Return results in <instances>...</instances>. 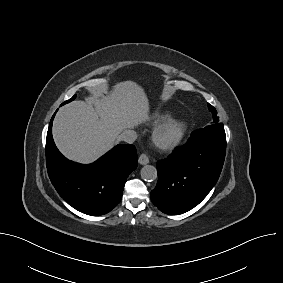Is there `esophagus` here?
Masks as SVG:
<instances>
[{"label":"esophagus","instance_id":"obj_1","mask_svg":"<svg viewBox=\"0 0 283 283\" xmlns=\"http://www.w3.org/2000/svg\"><path fill=\"white\" fill-rule=\"evenodd\" d=\"M138 161L141 165H146L149 163V158L146 154H141L138 158Z\"/></svg>","mask_w":283,"mask_h":283}]
</instances>
